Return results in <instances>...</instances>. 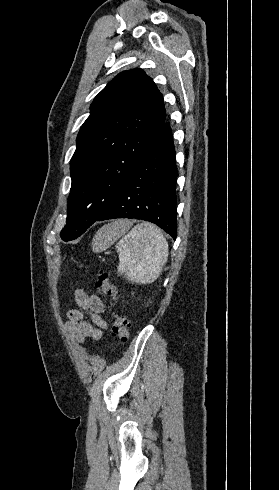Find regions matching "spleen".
Returning <instances> with one entry per match:
<instances>
[{
  "label": "spleen",
  "mask_w": 279,
  "mask_h": 490,
  "mask_svg": "<svg viewBox=\"0 0 279 490\" xmlns=\"http://www.w3.org/2000/svg\"><path fill=\"white\" fill-rule=\"evenodd\" d=\"M131 226L128 220H117L100 228L95 236L93 252H105L124 236L116 246L119 252L118 274H125L137 284H152L167 262L168 242L154 224L142 222L128 232Z\"/></svg>",
  "instance_id": "obj_1"
}]
</instances>
